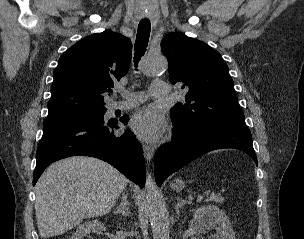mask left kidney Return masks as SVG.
<instances>
[{
	"label": "left kidney",
	"mask_w": 304,
	"mask_h": 239,
	"mask_svg": "<svg viewBox=\"0 0 304 239\" xmlns=\"http://www.w3.org/2000/svg\"><path fill=\"white\" fill-rule=\"evenodd\" d=\"M194 228L199 233H205L207 229L215 224L216 234L212 238L216 239H236L229 218L225 212L216 206H202L198 208L194 215Z\"/></svg>",
	"instance_id": "left-kidney-1"
}]
</instances>
